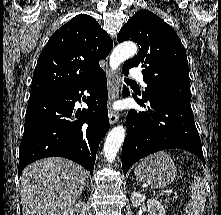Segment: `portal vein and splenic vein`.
I'll return each mask as SVG.
<instances>
[{
  "label": "portal vein and splenic vein",
  "instance_id": "18ae733b",
  "mask_svg": "<svg viewBox=\"0 0 221 215\" xmlns=\"http://www.w3.org/2000/svg\"><path fill=\"white\" fill-rule=\"evenodd\" d=\"M171 193H172L171 190H169V191H162V192L159 193V195L161 196L163 194H171Z\"/></svg>",
  "mask_w": 221,
  "mask_h": 215
}]
</instances>
